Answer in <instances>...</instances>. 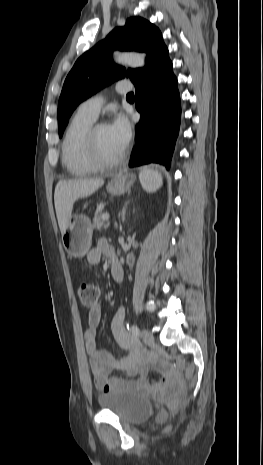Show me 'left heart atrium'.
<instances>
[{
    "instance_id": "left-heart-atrium-1",
    "label": "left heart atrium",
    "mask_w": 263,
    "mask_h": 465,
    "mask_svg": "<svg viewBox=\"0 0 263 465\" xmlns=\"http://www.w3.org/2000/svg\"><path fill=\"white\" fill-rule=\"evenodd\" d=\"M109 128L115 140L122 148H125L131 138V126L128 119L122 114H117Z\"/></svg>"
}]
</instances>
